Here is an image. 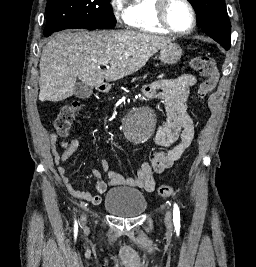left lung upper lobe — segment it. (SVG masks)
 <instances>
[{
  "mask_svg": "<svg viewBox=\"0 0 256 267\" xmlns=\"http://www.w3.org/2000/svg\"><path fill=\"white\" fill-rule=\"evenodd\" d=\"M194 7L198 26L226 50L231 45V25L224 0H188Z\"/></svg>",
  "mask_w": 256,
  "mask_h": 267,
  "instance_id": "left-lung-upper-lobe-1",
  "label": "left lung upper lobe"
}]
</instances>
